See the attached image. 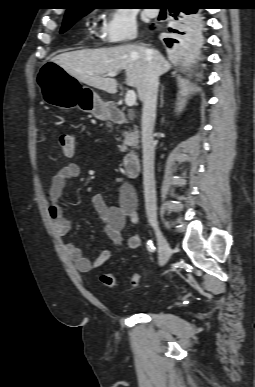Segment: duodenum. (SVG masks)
<instances>
[{
	"label": "duodenum",
	"instance_id": "1",
	"mask_svg": "<svg viewBox=\"0 0 255 387\" xmlns=\"http://www.w3.org/2000/svg\"><path fill=\"white\" fill-rule=\"evenodd\" d=\"M107 117L115 122L129 123L127 116L116 107H109L107 109ZM137 132V126L132 124L133 135H137ZM123 169L126 175L130 178H135L139 175L141 169V159L138 151L130 152L124 157Z\"/></svg>",
	"mask_w": 255,
	"mask_h": 387
}]
</instances>
